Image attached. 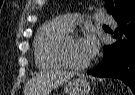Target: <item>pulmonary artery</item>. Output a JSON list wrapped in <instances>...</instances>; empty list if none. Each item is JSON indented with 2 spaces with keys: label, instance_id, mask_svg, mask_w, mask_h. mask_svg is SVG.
Returning <instances> with one entry per match:
<instances>
[{
  "label": "pulmonary artery",
  "instance_id": "obj_1",
  "mask_svg": "<svg viewBox=\"0 0 135 95\" xmlns=\"http://www.w3.org/2000/svg\"><path fill=\"white\" fill-rule=\"evenodd\" d=\"M60 19L68 28L72 29L82 20V17L79 14H65L61 16ZM96 19L98 22L102 23H113L111 17L107 16L105 13H97Z\"/></svg>",
  "mask_w": 135,
  "mask_h": 95
}]
</instances>
